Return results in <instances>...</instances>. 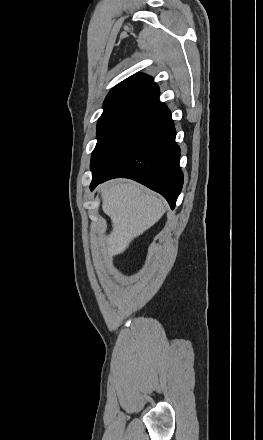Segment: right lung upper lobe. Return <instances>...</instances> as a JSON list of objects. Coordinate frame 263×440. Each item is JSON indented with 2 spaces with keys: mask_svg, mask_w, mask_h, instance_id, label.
Returning a JSON list of instances; mask_svg holds the SVG:
<instances>
[{
  "mask_svg": "<svg viewBox=\"0 0 263 440\" xmlns=\"http://www.w3.org/2000/svg\"><path fill=\"white\" fill-rule=\"evenodd\" d=\"M159 93L150 76L134 74L109 92L103 103L104 112L116 108L161 107L164 103L160 102Z\"/></svg>",
  "mask_w": 263,
  "mask_h": 440,
  "instance_id": "obj_1",
  "label": "right lung upper lobe"
}]
</instances>
